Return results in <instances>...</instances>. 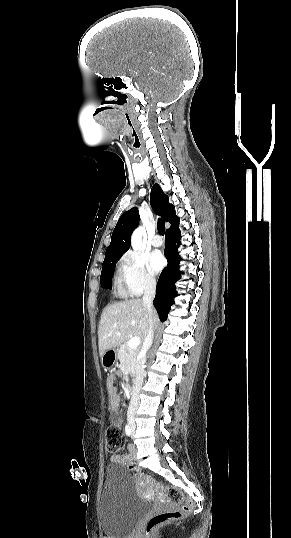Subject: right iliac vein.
I'll list each match as a JSON object with an SVG mask.
<instances>
[{
	"label": "right iliac vein",
	"instance_id": "right-iliac-vein-1",
	"mask_svg": "<svg viewBox=\"0 0 291 538\" xmlns=\"http://www.w3.org/2000/svg\"><path fill=\"white\" fill-rule=\"evenodd\" d=\"M130 424H131L132 428H135V425H134V423L132 421L130 422Z\"/></svg>",
	"mask_w": 291,
	"mask_h": 538
}]
</instances>
